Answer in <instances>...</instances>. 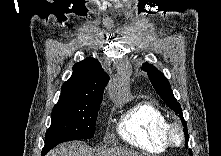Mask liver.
<instances>
[{
  "mask_svg": "<svg viewBox=\"0 0 221 156\" xmlns=\"http://www.w3.org/2000/svg\"><path fill=\"white\" fill-rule=\"evenodd\" d=\"M47 156H142L140 153L121 147L92 151L79 141L64 143L53 149Z\"/></svg>",
  "mask_w": 221,
  "mask_h": 156,
  "instance_id": "liver-1",
  "label": "liver"
}]
</instances>
